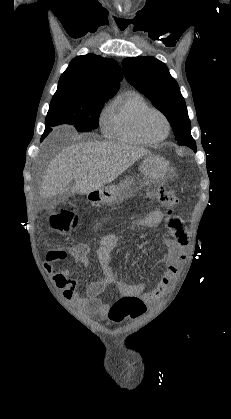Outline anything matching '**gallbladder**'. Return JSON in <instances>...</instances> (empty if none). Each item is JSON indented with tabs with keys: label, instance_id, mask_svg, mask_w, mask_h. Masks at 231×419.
Wrapping results in <instances>:
<instances>
[{
	"label": "gallbladder",
	"instance_id": "gallbladder-1",
	"mask_svg": "<svg viewBox=\"0 0 231 419\" xmlns=\"http://www.w3.org/2000/svg\"><path fill=\"white\" fill-rule=\"evenodd\" d=\"M67 198H68V194L66 192L61 193L55 197L56 201L58 202H64L67 200Z\"/></svg>",
	"mask_w": 231,
	"mask_h": 419
}]
</instances>
